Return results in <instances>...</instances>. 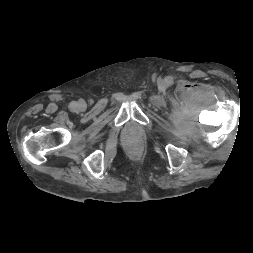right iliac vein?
I'll list each match as a JSON object with an SVG mask.
<instances>
[{
  "instance_id": "obj_1",
  "label": "right iliac vein",
  "mask_w": 253,
  "mask_h": 253,
  "mask_svg": "<svg viewBox=\"0 0 253 253\" xmlns=\"http://www.w3.org/2000/svg\"><path fill=\"white\" fill-rule=\"evenodd\" d=\"M81 109L84 107V104H80V106H79Z\"/></svg>"
}]
</instances>
